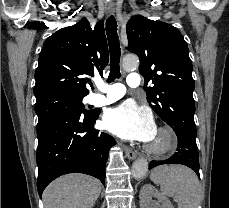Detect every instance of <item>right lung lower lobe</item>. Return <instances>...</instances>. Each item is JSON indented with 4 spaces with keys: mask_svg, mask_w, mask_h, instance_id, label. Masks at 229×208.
<instances>
[{
    "mask_svg": "<svg viewBox=\"0 0 229 208\" xmlns=\"http://www.w3.org/2000/svg\"><path fill=\"white\" fill-rule=\"evenodd\" d=\"M95 112H66L37 129V189L41 197L57 177L79 172L94 176L104 184V168L113 138L94 129Z\"/></svg>",
    "mask_w": 229,
    "mask_h": 208,
    "instance_id": "right-lung-lower-lobe-1",
    "label": "right lung lower lobe"
}]
</instances>
